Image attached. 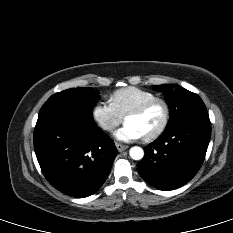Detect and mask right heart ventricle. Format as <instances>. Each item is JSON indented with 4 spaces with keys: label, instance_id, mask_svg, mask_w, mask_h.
Listing matches in <instances>:
<instances>
[{
    "label": "right heart ventricle",
    "instance_id": "1",
    "mask_svg": "<svg viewBox=\"0 0 233 233\" xmlns=\"http://www.w3.org/2000/svg\"><path fill=\"white\" fill-rule=\"evenodd\" d=\"M154 97L156 95L149 90L128 86L114 91L110 95V103L122 117H125L130 110Z\"/></svg>",
    "mask_w": 233,
    "mask_h": 233
}]
</instances>
